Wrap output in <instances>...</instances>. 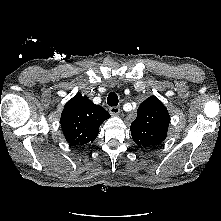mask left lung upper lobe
I'll list each match as a JSON object with an SVG mask.
<instances>
[{"label":"left lung upper lobe","mask_w":221,"mask_h":221,"mask_svg":"<svg viewBox=\"0 0 221 221\" xmlns=\"http://www.w3.org/2000/svg\"><path fill=\"white\" fill-rule=\"evenodd\" d=\"M170 122L164 104L155 96L147 98L138 108L137 118L131 124V135L141 148H151L163 142Z\"/></svg>","instance_id":"5c2ea615"}]
</instances>
